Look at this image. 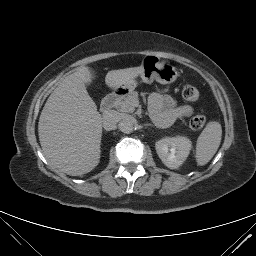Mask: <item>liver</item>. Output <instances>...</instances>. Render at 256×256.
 <instances>
[{"label":"liver","instance_id":"6515ba94","mask_svg":"<svg viewBox=\"0 0 256 256\" xmlns=\"http://www.w3.org/2000/svg\"><path fill=\"white\" fill-rule=\"evenodd\" d=\"M141 71V66L109 71L106 85L116 89ZM92 78L86 66L66 76L47 99L39 118V140L46 157L71 176L92 171L100 161L102 117L86 89Z\"/></svg>","mask_w":256,"mask_h":256}]
</instances>
